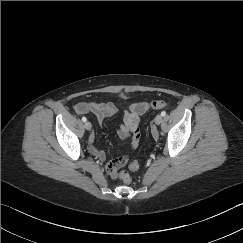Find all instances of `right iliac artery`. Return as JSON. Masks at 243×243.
<instances>
[{"instance_id":"82829eb1","label":"right iliac artery","mask_w":243,"mask_h":243,"mask_svg":"<svg viewBox=\"0 0 243 243\" xmlns=\"http://www.w3.org/2000/svg\"><path fill=\"white\" fill-rule=\"evenodd\" d=\"M82 121L86 122L87 121L86 117H82Z\"/></svg>"}]
</instances>
